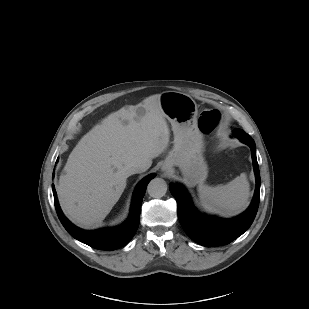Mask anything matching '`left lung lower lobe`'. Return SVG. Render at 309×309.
Returning <instances> with one entry per match:
<instances>
[{"instance_id":"1","label":"left lung lower lobe","mask_w":309,"mask_h":309,"mask_svg":"<svg viewBox=\"0 0 309 309\" xmlns=\"http://www.w3.org/2000/svg\"><path fill=\"white\" fill-rule=\"evenodd\" d=\"M234 136L251 148L256 189L249 208L240 216L225 220L208 217L198 213L193 207L187 191L182 186L170 185L171 194L177 201L178 218L186 234L202 246L213 247L226 245L242 235L251 226L259 206L260 173L256 158V147L247 133L233 131Z\"/></svg>"}]
</instances>
